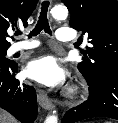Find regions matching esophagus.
<instances>
[{
    "instance_id": "obj_1",
    "label": "esophagus",
    "mask_w": 118,
    "mask_h": 123,
    "mask_svg": "<svg viewBox=\"0 0 118 123\" xmlns=\"http://www.w3.org/2000/svg\"><path fill=\"white\" fill-rule=\"evenodd\" d=\"M37 100L40 106L45 110H52L53 103L52 100L49 98L47 93L43 90H38L37 92Z\"/></svg>"
}]
</instances>
